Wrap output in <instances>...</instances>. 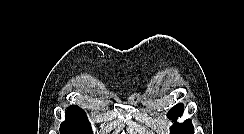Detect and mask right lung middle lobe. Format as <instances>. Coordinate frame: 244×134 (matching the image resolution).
Wrapping results in <instances>:
<instances>
[{
  "instance_id": "1",
  "label": "right lung middle lobe",
  "mask_w": 244,
  "mask_h": 134,
  "mask_svg": "<svg viewBox=\"0 0 244 134\" xmlns=\"http://www.w3.org/2000/svg\"><path fill=\"white\" fill-rule=\"evenodd\" d=\"M60 134H92L88 120L67 119L61 124Z\"/></svg>"
}]
</instances>
